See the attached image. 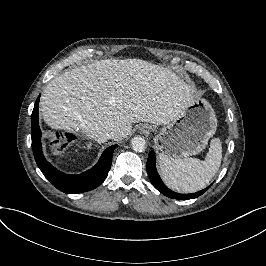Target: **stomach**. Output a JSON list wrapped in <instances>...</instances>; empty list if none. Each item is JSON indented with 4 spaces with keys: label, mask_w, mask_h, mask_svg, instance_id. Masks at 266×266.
Returning a JSON list of instances; mask_svg holds the SVG:
<instances>
[{
    "label": "stomach",
    "mask_w": 266,
    "mask_h": 266,
    "mask_svg": "<svg viewBox=\"0 0 266 266\" xmlns=\"http://www.w3.org/2000/svg\"><path fill=\"white\" fill-rule=\"evenodd\" d=\"M140 129L141 126L137 131ZM216 129L217 116L212 106L203 99H197L182 115L164 125L154 142L171 158L192 156L206 148Z\"/></svg>",
    "instance_id": "obj_1"
}]
</instances>
